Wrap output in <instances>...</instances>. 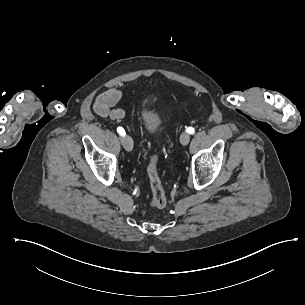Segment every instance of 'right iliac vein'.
<instances>
[{"instance_id":"obj_1","label":"right iliac vein","mask_w":305,"mask_h":305,"mask_svg":"<svg viewBox=\"0 0 305 305\" xmlns=\"http://www.w3.org/2000/svg\"><path fill=\"white\" fill-rule=\"evenodd\" d=\"M122 141V144L124 146V148L127 150V151H131L132 148H133V140L131 139L130 136H125V137H122L121 139Z\"/></svg>"}]
</instances>
